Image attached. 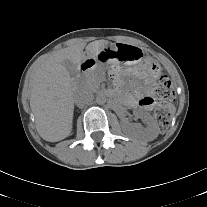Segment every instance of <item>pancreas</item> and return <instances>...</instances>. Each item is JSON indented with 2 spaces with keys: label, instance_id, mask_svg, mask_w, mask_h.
Instances as JSON below:
<instances>
[{
  "label": "pancreas",
  "instance_id": "1",
  "mask_svg": "<svg viewBox=\"0 0 207 207\" xmlns=\"http://www.w3.org/2000/svg\"><path fill=\"white\" fill-rule=\"evenodd\" d=\"M102 75L103 73L100 68L92 70L91 72L86 74L85 80L82 82L81 86L84 89L95 91L99 87Z\"/></svg>",
  "mask_w": 207,
  "mask_h": 207
}]
</instances>
